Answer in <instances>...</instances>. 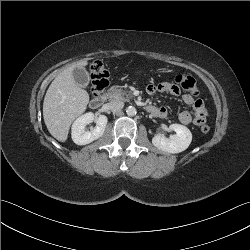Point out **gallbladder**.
Instances as JSON below:
<instances>
[{"label": "gallbladder", "instance_id": "gallbladder-1", "mask_svg": "<svg viewBox=\"0 0 250 250\" xmlns=\"http://www.w3.org/2000/svg\"><path fill=\"white\" fill-rule=\"evenodd\" d=\"M74 81L81 87H86L89 83V74L85 68H75L73 70Z\"/></svg>", "mask_w": 250, "mask_h": 250}]
</instances>
